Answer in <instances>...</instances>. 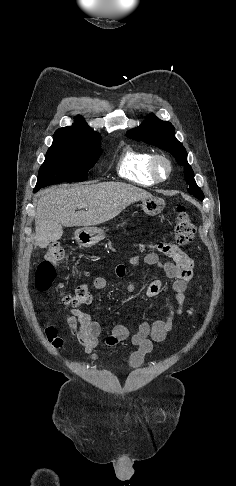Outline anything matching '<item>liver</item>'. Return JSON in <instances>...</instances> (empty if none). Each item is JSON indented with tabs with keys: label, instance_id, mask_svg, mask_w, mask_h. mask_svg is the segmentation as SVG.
<instances>
[{
	"label": "liver",
	"instance_id": "6515ba94",
	"mask_svg": "<svg viewBox=\"0 0 236 486\" xmlns=\"http://www.w3.org/2000/svg\"><path fill=\"white\" fill-rule=\"evenodd\" d=\"M152 197L143 189L120 182L45 189L37 202L35 246L47 239L44 230L49 223L65 227L98 225L113 219L130 204ZM78 206H84L86 211H76Z\"/></svg>",
	"mask_w": 236,
	"mask_h": 486
}]
</instances>
